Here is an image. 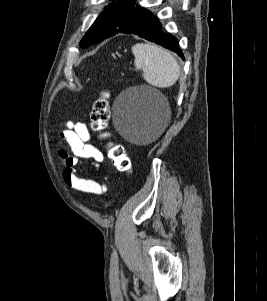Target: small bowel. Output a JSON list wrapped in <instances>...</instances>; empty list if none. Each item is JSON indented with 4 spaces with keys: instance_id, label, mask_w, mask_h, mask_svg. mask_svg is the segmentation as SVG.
<instances>
[{
    "instance_id": "obj_1",
    "label": "small bowel",
    "mask_w": 267,
    "mask_h": 301,
    "mask_svg": "<svg viewBox=\"0 0 267 301\" xmlns=\"http://www.w3.org/2000/svg\"><path fill=\"white\" fill-rule=\"evenodd\" d=\"M60 137L69 146L72 156H69L65 151H60L59 155L62 158L64 168L62 177L68 187L95 195L103 194L108 189V178L104 177L102 182L87 178L77 167L86 160H91L95 168H98L104 162V155L92 143V136L83 122L65 121L62 125Z\"/></svg>"
}]
</instances>
